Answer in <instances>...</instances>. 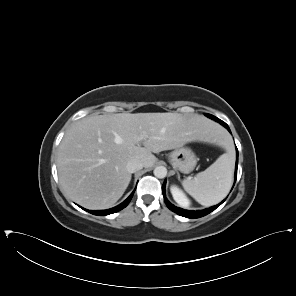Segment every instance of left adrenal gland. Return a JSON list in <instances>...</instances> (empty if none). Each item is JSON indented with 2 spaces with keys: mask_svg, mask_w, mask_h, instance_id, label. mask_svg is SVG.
I'll list each match as a JSON object with an SVG mask.
<instances>
[{
  "mask_svg": "<svg viewBox=\"0 0 296 296\" xmlns=\"http://www.w3.org/2000/svg\"><path fill=\"white\" fill-rule=\"evenodd\" d=\"M177 176H178V179L180 180V175H179V173L177 172Z\"/></svg>",
  "mask_w": 296,
  "mask_h": 296,
  "instance_id": "left-adrenal-gland-1",
  "label": "left adrenal gland"
}]
</instances>
